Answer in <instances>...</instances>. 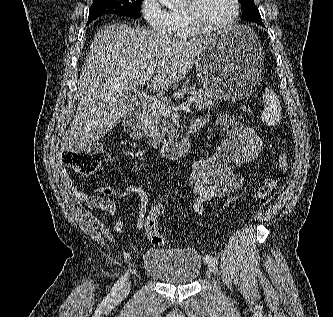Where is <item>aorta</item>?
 Masks as SVG:
<instances>
[{
    "mask_svg": "<svg viewBox=\"0 0 333 317\" xmlns=\"http://www.w3.org/2000/svg\"><path fill=\"white\" fill-rule=\"evenodd\" d=\"M181 1L182 0H159V2L162 5L170 8V9L177 7L181 3Z\"/></svg>",
    "mask_w": 333,
    "mask_h": 317,
    "instance_id": "obj_1",
    "label": "aorta"
}]
</instances>
